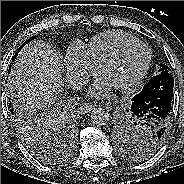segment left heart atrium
<instances>
[{"mask_svg": "<svg viewBox=\"0 0 184 184\" xmlns=\"http://www.w3.org/2000/svg\"><path fill=\"white\" fill-rule=\"evenodd\" d=\"M111 89V85L104 79L96 80L89 88V95L94 98L106 96Z\"/></svg>", "mask_w": 184, "mask_h": 184, "instance_id": "left-heart-atrium-1", "label": "left heart atrium"}]
</instances>
